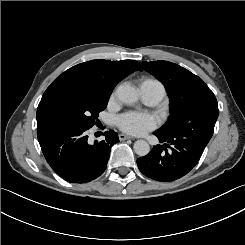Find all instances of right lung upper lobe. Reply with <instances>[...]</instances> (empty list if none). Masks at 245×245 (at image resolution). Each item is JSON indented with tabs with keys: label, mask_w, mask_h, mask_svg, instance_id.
<instances>
[{
	"label": "right lung upper lobe",
	"mask_w": 245,
	"mask_h": 245,
	"mask_svg": "<svg viewBox=\"0 0 245 245\" xmlns=\"http://www.w3.org/2000/svg\"><path fill=\"white\" fill-rule=\"evenodd\" d=\"M137 70L141 71L142 66L135 60L97 59L75 65L57 79L77 80L111 94L118 82Z\"/></svg>",
	"instance_id": "1"
}]
</instances>
